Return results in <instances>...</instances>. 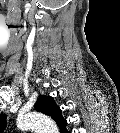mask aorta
Instances as JSON below:
<instances>
[{
  "label": "aorta",
  "mask_w": 120,
  "mask_h": 133,
  "mask_svg": "<svg viewBox=\"0 0 120 133\" xmlns=\"http://www.w3.org/2000/svg\"><path fill=\"white\" fill-rule=\"evenodd\" d=\"M18 126L21 129L33 128L47 130L52 122L42 113H28L18 119Z\"/></svg>",
  "instance_id": "1"
}]
</instances>
